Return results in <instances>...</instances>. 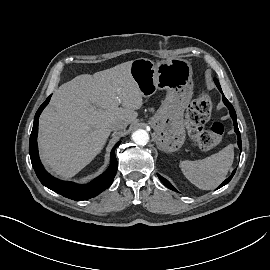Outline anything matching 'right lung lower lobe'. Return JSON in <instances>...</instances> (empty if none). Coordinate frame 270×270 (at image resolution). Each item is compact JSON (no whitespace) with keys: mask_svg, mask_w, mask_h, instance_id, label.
Wrapping results in <instances>:
<instances>
[{"mask_svg":"<svg viewBox=\"0 0 270 270\" xmlns=\"http://www.w3.org/2000/svg\"><path fill=\"white\" fill-rule=\"evenodd\" d=\"M50 97L51 96H49L46 101L39 107L34 117L33 129L29 141V153L32 166L40 182L47 188L76 201L93 198L105 189H107L113 182L117 171L115 148L120 144V142L117 143L111 151L110 166L108 167V169L103 174L95 178L92 182L86 185H78L72 182L60 181L52 177L44 169L43 165L40 162L37 146L38 119L42 110L49 103Z\"/></svg>","mask_w":270,"mask_h":270,"instance_id":"1","label":"right lung lower lobe"}]
</instances>
